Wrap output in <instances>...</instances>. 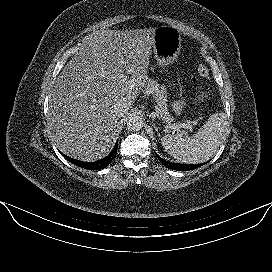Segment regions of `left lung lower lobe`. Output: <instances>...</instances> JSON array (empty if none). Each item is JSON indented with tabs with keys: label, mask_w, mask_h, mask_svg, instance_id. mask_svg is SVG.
Instances as JSON below:
<instances>
[{
	"label": "left lung lower lobe",
	"mask_w": 272,
	"mask_h": 272,
	"mask_svg": "<svg viewBox=\"0 0 272 272\" xmlns=\"http://www.w3.org/2000/svg\"><path fill=\"white\" fill-rule=\"evenodd\" d=\"M157 158L159 159V161L167 168L172 169V170H178V171H188V170H193L196 169L198 167H200L202 164L200 165H184V164H176V163H172V162H168L165 161L164 159L160 158L158 155H156Z\"/></svg>",
	"instance_id": "0a47b994"
}]
</instances>
